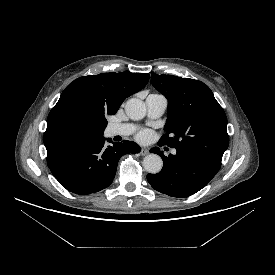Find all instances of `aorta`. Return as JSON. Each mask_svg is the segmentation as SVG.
Segmentation results:
<instances>
[{"instance_id":"aorta-1","label":"aorta","mask_w":275,"mask_h":275,"mask_svg":"<svg viewBox=\"0 0 275 275\" xmlns=\"http://www.w3.org/2000/svg\"><path fill=\"white\" fill-rule=\"evenodd\" d=\"M125 112L132 120H141L146 115L145 103L137 98L129 99L125 105ZM143 166L148 173H159L163 166L161 157L157 154H149L143 159Z\"/></svg>"}]
</instances>
